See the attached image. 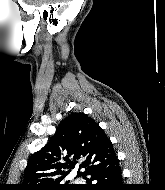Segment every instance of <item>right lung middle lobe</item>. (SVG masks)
<instances>
[{
	"instance_id": "right-lung-middle-lobe-1",
	"label": "right lung middle lobe",
	"mask_w": 165,
	"mask_h": 190,
	"mask_svg": "<svg viewBox=\"0 0 165 190\" xmlns=\"http://www.w3.org/2000/svg\"><path fill=\"white\" fill-rule=\"evenodd\" d=\"M54 190H76V187L73 185H69V186L59 187V188H56Z\"/></svg>"
}]
</instances>
